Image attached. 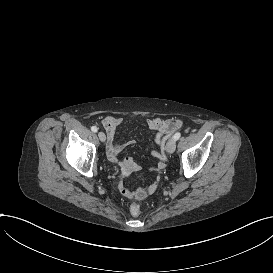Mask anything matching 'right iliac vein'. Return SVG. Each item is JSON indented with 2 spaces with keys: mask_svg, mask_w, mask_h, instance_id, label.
<instances>
[{
  "mask_svg": "<svg viewBox=\"0 0 273 273\" xmlns=\"http://www.w3.org/2000/svg\"><path fill=\"white\" fill-rule=\"evenodd\" d=\"M98 137H99L100 141L105 142L106 136L103 132H99Z\"/></svg>",
  "mask_w": 273,
  "mask_h": 273,
  "instance_id": "63e3f726",
  "label": "right iliac vein"
}]
</instances>
